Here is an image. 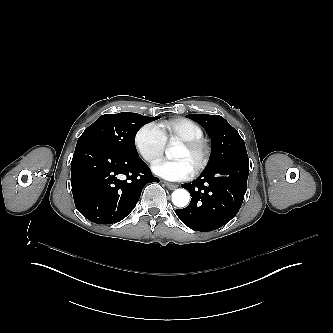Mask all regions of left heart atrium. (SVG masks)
I'll return each instance as SVG.
<instances>
[{
  "label": "left heart atrium",
  "instance_id": "left-heart-atrium-1",
  "mask_svg": "<svg viewBox=\"0 0 333 333\" xmlns=\"http://www.w3.org/2000/svg\"><path fill=\"white\" fill-rule=\"evenodd\" d=\"M154 172L170 181H185L194 176L195 169L187 161H163L154 167Z\"/></svg>",
  "mask_w": 333,
  "mask_h": 333
}]
</instances>
